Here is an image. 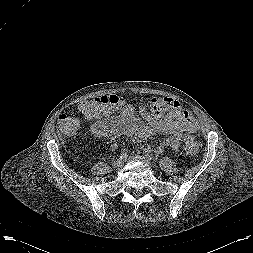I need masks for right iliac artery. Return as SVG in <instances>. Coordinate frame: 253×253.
Segmentation results:
<instances>
[{
  "label": "right iliac artery",
  "mask_w": 253,
  "mask_h": 253,
  "mask_svg": "<svg viewBox=\"0 0 253 253\" xmlns=\"http://www.w3.org/2000/svg\"><path fill=\"white\" fill-rule=\"evenodd\" d=\"M128 157V153L126 152V151H123L122 153H121V156H120V158L122 159H126Z\"/></svg>",
  "instance_id": "obj_1"
}]
</instances>
